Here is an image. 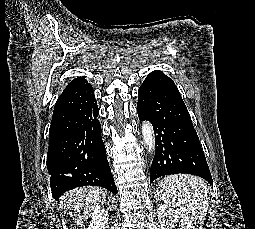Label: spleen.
I'll use <instances>...</instances> for the list:
<instances>
[{
	"label": "spleen",
	"instance_id": "1",
	"mask_svg": "<svg viewBox=\"0 0 255 229\" xmlns=\"http://www.w3.org/2000/svg\"><path fill=\"white\" fill-rule=\"evenodd\" d=\"M157 194L166 204L190 216L195 223L205 220L209 207V188L202 178L189 174L164 177Z\"/></svg>",
	"mask_w": 255,
	"mask_h": 229
}]
</instances>
